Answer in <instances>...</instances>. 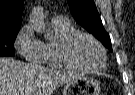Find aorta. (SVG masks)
<instances>
[{
  "mask_svg": "<svg viewBox=\"0 0 135 95\" xmlns=\"http://www.w3.org/2000/svg\"><path fill=\"white\" fill-rule=\"evenodd\" d=\"M31 27L38 33H45L44 14L41 8H36L30 15Z\"/></svg>",
  "mask_w": 135,
  "mask_h": 95,
  "instance_id": "obj_1",
  "label": "aorta"
}]
</instances>
